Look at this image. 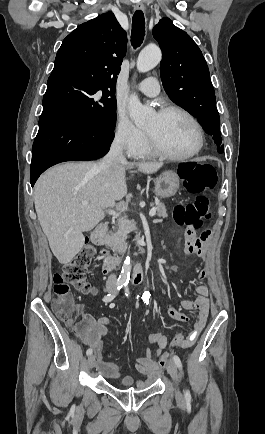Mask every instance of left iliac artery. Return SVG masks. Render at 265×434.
I'll use <instances>...</instances> for the list:
<instances>
[{
    "label": "left iliac artery",
    "mask_w": 265,
    "mask_h": 434,
    "mask_svg": "<svg viewBox=\"0 0 265 434\" xmlns=\"http://www.w3.org/2000/svg\"><path fill=\"white\" fill-rule=\"evenodd\" d=\"M124 287H125V295L128 297L130 295L129 289H128V282L125 283ZM173 361L175 362L176 366L179 369L182 368L181 360L177 355H173ZM185 399H186V401H191V394H190L189 390H186V392H185Z\"/></svg>",
    "instance_id": "1"
}]
</instances>
